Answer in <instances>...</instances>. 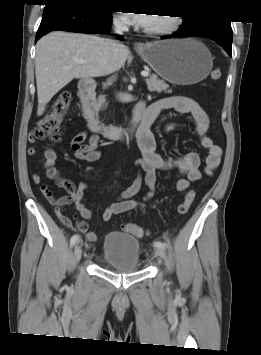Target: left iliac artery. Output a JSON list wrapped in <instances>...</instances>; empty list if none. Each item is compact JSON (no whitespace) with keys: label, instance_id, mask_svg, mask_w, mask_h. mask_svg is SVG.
Segmentation results:
<instances>
[{"label":"left iliac artery","instance_id":"left-iliac-artery-1","mask_svg":"<svg viewBox=\"0 0 261 355\" xmlns=\"http://www.w3.org/2000/svg\"><path fill=\"white\" fill-rule=\"evenodd\" d=\"M154 246L157 247V248H162V249L166 248V244L161 242V241H155L154 242Z\"/></svg>","mask_w":261,"mask_h":355}]
</instances>
